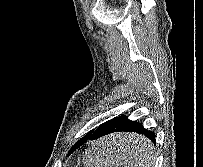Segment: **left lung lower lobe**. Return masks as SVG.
<instances>
[{
	"instance_id": "left-lung-lower-lobe-1",
	"label": "left lung lower lobe",
	"mask_w": 203,
	"mask_h": 167,
	"mask_svg": "<svg viewBox=\"0 0 203 167\" xmlns=\"http://www.w3.org/2000/svg\"><path fill=\"white\" fill-rule=\"evenodd\" d=\"M136 132L139 134L144 135L148 139H150L154 144H156L155 140V133L152 131H149L148 129H145L142 124L139 122L131 121L128 119L127 116H118L115 117L103 124H101L94 132H92L89 136L83 137L80 139L69 151V154L75 151L77 148H79L83 143H85L87 140H95L104 136H108L103 140H99L100 142L104 140H107L110 134L114 132ZM98 141V142H99ZM105 144V143H104ZM107 144V141H106ZM109 148H112V150H120V149H126L127 150H135L136 153L139 151V148L141 146H137L136 144H133L132 142H127L124 140V142H113L111 140H108ZM142 149L146 150V147H143ZM135 153V154H136Z\"/></svg>"
}]
</instances>
